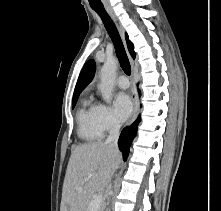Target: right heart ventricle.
Returning a JSON list of instances; mask_svg holds the SVG:
<instances>
[{"mask_svg":"<svg viewBox=\"0 0 221 211\" xmlns=\"http://www.w3.org/2000/svg\"><path fill=\"white\" fill-rule=\"evenodd\" d=\"M78 135L87 142L97 141L102 134L95 123V105L89 100L84 99L77 112Z\"/></svg>","mask_w":221,"mask_h":211,"instance_id":"obj_1","label":"right heart ventricle"}]
</instances>
